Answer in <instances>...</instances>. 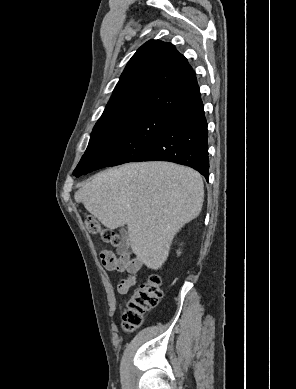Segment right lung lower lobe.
I'll return each instance as SVG.
<instances>
[{
    "label": "right lung lower lobe",
    "instance_id": "98d812e1",
    "mask_svg": "<svg viewBox=\"0 0 296 389\" xmlns=\"http://www.w3.org/2000/svg\"><path fill=\"white\" fill-rule=\"evenodd\" d=\"M203 105L178 116L168 129L146 150L140 161H170L189 166L208 181V130ZM89 166L76 167L73 175L93 171Z\"/></svg>",
    "mask_w": 296,
    "mask_h": 389
}]
</instances>
